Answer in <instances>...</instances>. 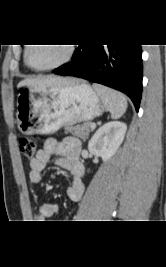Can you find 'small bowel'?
Listing matches in <instances>:
<instances>
[{
    "mask_svg": "<svg viewBox=\"0 0 166 267\" xmlns=\"http://www.w3.org/2000/svg\"><path fill=\"white\" fill-rule=\"evenodd\" d=\"M81 142L74 137H67L61 141L49 138L44 142L42 148L38 149L35 157L30 161L29 180L33 184H38L42 180L43 170L46 168L50 158L56 156V165L68 171L72 176V181L67 188V195L73 202L81 200L84 185L82 176L84 166L80 161ZM58 206L54 203H44L39 212L34 215L37 222L57 215Z\"/></svg>",
    "mask_w": 166,
    "mask_h": 267,
    "instance_id": "1",
    "label": "small bowel"
}]
</instances>
